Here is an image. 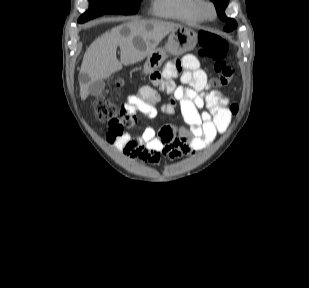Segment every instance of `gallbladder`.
<instances>
[{
  "label": "gallbladder",
  "mask_w": 309,
  "mask_h": 288,
  "mask_svg": "<svg viewBox=\"0 0 309 288\" xmlns=\"http://www.w3.org/2000/svg\"><path fill=\"white\" fill-rule=\"evenodd\" d=\"M105 89V82L104 80H98L96 82H93L88 87V92L92 96H97L103 92Z\"/></svg>",
  "instance_id": "1"
}]
</instances>
